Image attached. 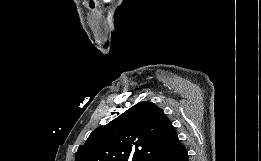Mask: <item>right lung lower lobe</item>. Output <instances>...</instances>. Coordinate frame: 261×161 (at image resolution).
<instances>
[{
	"label": "right lung lower lobe",
	"instance_id": "right-lung-lower-lobe-1",
	"mask_svg": "<svg viewBox=\"0 0 261 161\" xmlns=\"http://www.w3.org/2000/svg\"><path fill=\"white\" fill-rule=\"evenodd\" d=\"M150 161H189V158L185 146L180 145L172 151L153 157Z\"/></svg>",
	"mask_w": 261,
	"mask_h": 161
}]
</instances>
